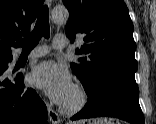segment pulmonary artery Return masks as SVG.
<instances>
[{"instance_id": "e3ab8cb5", "label": "pulmonary artery", "mask_w": 156, "mask_h": 124, "mask_svg": "<svg viewBox=\"0 0 156 124\" xmlns=\"http://www.w3.org/2000/svg\"><path fill=\"white\" fill-rule=\"evenodd\" d=\"M68 45L67 38L64 35H56L54 37L52 47L54 49H62ZM49 52V47L47 46H41L39 48H36L33 50L29 55L28 58H37L46 55Z\"/></svg>"}]
</instances>
